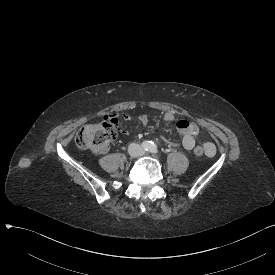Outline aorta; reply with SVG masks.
<instances>
[{"label": "aorta", "instance_id": "1", "mask_svg": "<svg viewBox=\"0 0 275 275\" xmlns=\"http://www.w3.org/2000/svg\"><path fill=\"white\" fill-rule=\"evenodd\" d=\"M146 150L150 152H155L157 150V145L154 142H147Z\"/></svg>", "mask_w": 275, "mask_h": 275}]
</instances>
